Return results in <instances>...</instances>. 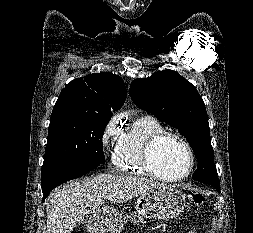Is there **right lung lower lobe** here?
Instances as JSON below:
<instances>
[{
  "label": "right lung lower lobe",
  "instance_id": "1",
  "mask_svg": "<svg viewBox=\"0 0 253 233\" xmlns=\"http://www.w3.org/2000/svg\"><path fill=\"white\" fill-rule=\"evenodd\" d=\"M96 167L97 165L92 164H60L42 171V201H44V199L48 197L49 192L58 185L66 181L78 178L95 169Z\"/></svg>",
  "mask_w": 253,
  "mask_h": 233
}]
</instances>
